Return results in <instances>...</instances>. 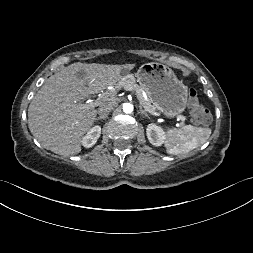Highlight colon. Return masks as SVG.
Listing matches in <instances>:
<instances>
[{"instance_id":"colon-1","label":"colon","mask_w":253,"mask_h":253,"mask_svg":"<svg viewBox=\"0 0 253 253\" xmlns=\"http://www.w3.org/2000/svg\"><path fill=\"white\" fill-rule=\"evenodd\" d=\"M189 104L192 107V121L195 124H208L211 121L210 111L199 102L198 91L189 89Z\"/></svg>"}]
</instances>
